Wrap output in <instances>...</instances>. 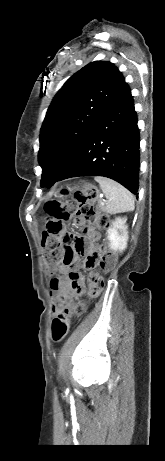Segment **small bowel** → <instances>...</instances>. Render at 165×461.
I'll use <instances>...</instances> for the list:
<instances>
[{"label": "small bowel", "mask_w": 165, "mask_h": 461, "mask_svg": "<svg viewBox=\"0 0 165 461\" xmlns=\"http://www.w3.org/2000/svg\"><path fill=\"white\" fill-rule=\"evenodd\" d=\"M75 230L64 229L62 244L68 246V250L61 251L60 264L56 267L59 277H55L50 282V287L55 292L53 313L57 314L64 309H68L73 296L81 295L85 290L83 275L78 271V254L88 256L97 253V241L100 233L93 225H83L82 219H77ZM86 259L83 265L86 266ZM88 268V267H87Z\"/></svg>", "instance_id": "obj_1"}]
</instances>
